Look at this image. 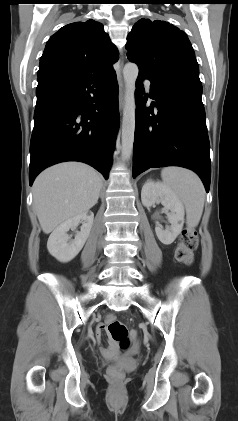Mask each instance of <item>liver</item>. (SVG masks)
I'll use <instances>...</instances> for the list:
<instances>
[{"label": "liver", "instance_id": "obj_1", "mask_svg": "<svg viewBox=\"0 0 238 421\" xmlns=\"http://www.w3.org/2000/svg\"><path fill=\"white\" fill-rule=\"evenodd\" d=\"M102 178L92 167L66 162L44 170L33 184L35 211L44 233L77 215L98 201Z\"/></svg>", "mask_w": 238, "mask_h": 421}]
</instances>
